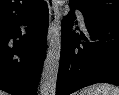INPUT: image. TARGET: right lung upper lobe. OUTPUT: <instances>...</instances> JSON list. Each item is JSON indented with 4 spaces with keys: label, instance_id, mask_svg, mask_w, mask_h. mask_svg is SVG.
I'll list each match as a JSON object with an SVG mask.
<instances>
[{
    "label": "right lung upper lobe",
    "instance_id": "obj_1",
    "mask_svg": "<svg viewBox=\"0 0 119 95\" xmlns=\"http://www.w3.org/2000/svg\"><path fill=\"white\" fill-rule=\"evenodd\" d=\"M43 0H0V28L36 11Z\"/></svg>",
    "mask_w": 119,
    "mask_h": 95
}]
</instances>
